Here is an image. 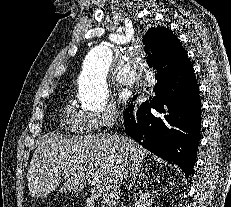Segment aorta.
<instances>
[{
  "label": "aorta",
  "instance_id": "obj_1",
  "mask_svg": "<svg viewBox=\"0 0 231 207\" xmlns=\"http://www.w3.org/2000/svg\"><path fill=\"white\" fill-rule=\"evenodd\" d=\"M112 59V52L107 44L93 47L86 55L78 82V97L84 109H104L109 93L106 77Z\"/></svg>",
  "mask_w": 231,
  "mask_h": 207
}]
</instances>
